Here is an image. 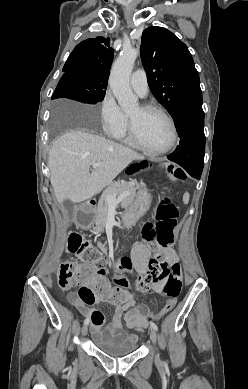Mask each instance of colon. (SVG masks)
I'll return each mask as SVG.
<instances>
[{
	"label": "colon",
	"instance_id": "5ec220e1",
	"mask_svg": "<svg viewBox=\"0 0 248 389\" xmlns=\"http://www.w3.org/2000/svg\"><path fill=\"white\" fill-rule=\"evenodd\" d=\"M138 170L142 171L145 166L144 162L138 163ZM133 171L137 170L136 166L132 167ZM130 171L129 175L133 176L134 172ZM176 181H182L185 174L182 171L175 170L172 173ZM178 211L176 206L165 198L159 204L154 221L146 222L142 229L141 235L146 240L153 244H158L162 247H170L174 242L175 226ZM69 251L79 257L82 262H61L58 270V284L61 288L67 289L73 286H78V295L85 304H92L98 299L107 300L113 303H122L127 299L125 293L116 288H110L106 284L107 271L104 266V259L101 253L90 245L79 234H72L68 239ZM115 266L121 270L122 274L132 276L134 273V265L131 259L127 256L121 257ZM163 282L161 293L166 304L157 314H147L146 322L159 320L169 313L175 305L176 298L182 287V269L177 263L169 264L160 257L151 259L148 262L147 269L137 275L135 284L136 288L142 293H148L154 285ZM114 286H122L124 292L133 293V287L129 279H114ZM135 295L134 293L132 294ZM91 323L95 327H100L104 323V315L100 311H93L91 314Z\"/></svg>",
	"mask_w": 248,
	"mask_h": 389
}]
</instances>
